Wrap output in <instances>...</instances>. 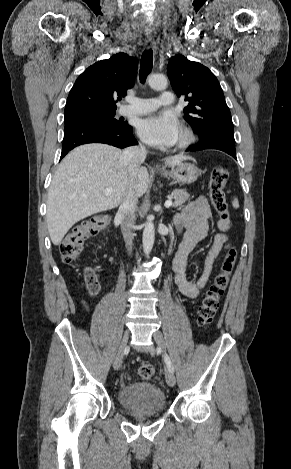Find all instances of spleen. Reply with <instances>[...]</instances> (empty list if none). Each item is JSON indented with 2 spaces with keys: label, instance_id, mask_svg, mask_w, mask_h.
<instances>
[{
  "label": "spleen",
  "instance_id": "spleen-1",
  "mask_svg": "<svg viewBox=\"0 0 291 469\" xmlns=\"http://www.w3.org/2000/svg\"><path fill=\"white\" fill-rule=\"evenodd\" d=\"M232 205H233L234 208H238V207H239V202H238V200H237L236 198L233 200Z\"/></svg>",
  "mask_w": 291,
  "mask_h": 469
}]
</instances>
